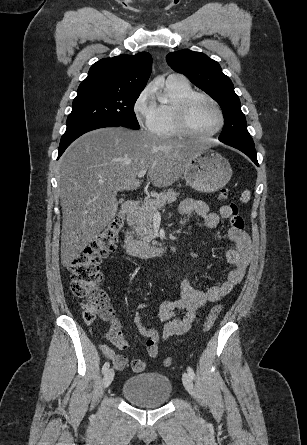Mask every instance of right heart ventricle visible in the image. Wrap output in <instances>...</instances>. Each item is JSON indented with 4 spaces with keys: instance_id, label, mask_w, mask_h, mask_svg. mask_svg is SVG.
Returning <instances> with one entry per match:
<instances>
[{
    "instance_id": "right-heart-ventricle-1",
    "label": "right heart ventricle",
    "mask_w": 307,
    "mask_h": 445,
    "mask_svg": "<svg viewBox=\"0 0 307 445\" xmlns=\"http://www.w3.org/2000/svg\"><path fill=\"white\" fill-rule=\"evenodd\" d=\"M192 92L193 89L188 82L171 79L166 82L163 92L155 94L154 107L157 113V124L154 132L162 136L157 140H182L175 137L180 135L181 131L171 114V107ZM161 93L164 94L166 100L162 99Z\"/></svg>"
}]
</instances>
